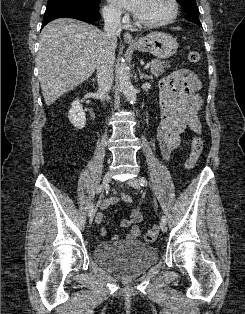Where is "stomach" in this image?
Wrapping results in <instances>:
<instances>
[{"label":"stomach","mask_w":245,"mask_h":314,"mask_svg":"<svg viewBox=\"0 0 245 314\" xmlns=\"http://www.w3.org/2000/svg\"><path fill=\"white\" fill-rule=\"evenodd\" d=\"M131 47L139 52L151 53L154 56L166 59L174 55L178 49L177 40L171 35L163 32H152Z\"/></svg>","instance_id":"obj_1"}]
</instances>
